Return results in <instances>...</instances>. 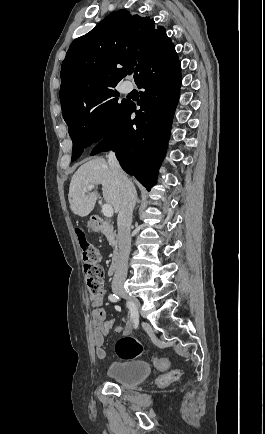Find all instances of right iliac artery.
<instances>
[{
    "mask_svg": "<svg viewBox=\"0 0 265 434\" xmlns=\"http://www.w3.org/2000/svg\"><path fill=\"white\" fill-rule=\"evenodd\" d=\"M108 299L111 301V302H117V301H119V296H117L116 294H110L109 296H108ZM128 307H129V310H130V314H131V320L133 321V322H135L136 320H138V311H137V308L136 307H134L130 302H128Z\"/></svg>",
    "mask_w": 265,
    "mask_h": 434,
    "instance_id": "obj_1",
    "label": "right iliac artery"
}]
</instances>
